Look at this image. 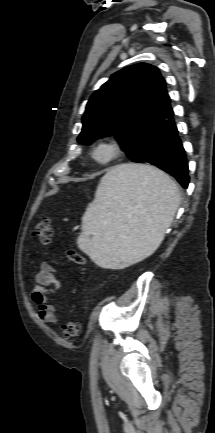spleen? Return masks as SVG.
Here are the masks:
<instances>
[{"mask_svg": "<svg viewBox=\"0 0 215 433\" xmlns=\"http://www.w3.org/2000/svg\"><path fill=\"white\" fill-rule=\"evenodd\" d=\"M179 203L178 187L163 171L139 164L112 167L82 217L77 245L104 268L140 262L161 244Z\"/></svg>", "mask_w": 215, "mask_h": 433, "instance_id": "1", "label": "spleen"}]
</instances>
